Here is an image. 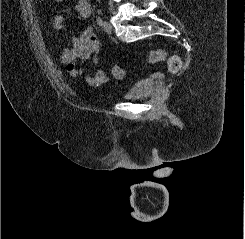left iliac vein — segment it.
Returning a JSON list of instances; mask_svg holds the SVG:
<instances>
[{"mask_svg": "<svg viewBox=\"0 0 245 239\" xmlns=\"http://www.w3.org/2000/svg\"><path fill=\"white\" fill-rule=\"evenodd\" d=\"M103 31L107 34H111L112 33V26L109 22L104 21L103 22Z\"/></svg>", "mask_w": 245, "mask_h": 239, "instance_id": "left-iliac-vein-1", "label": "left iliac vein"}]
</instances>
